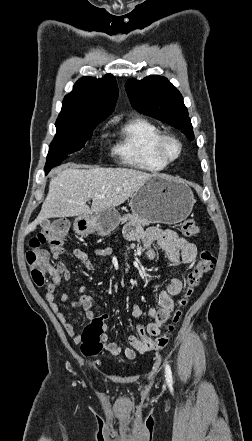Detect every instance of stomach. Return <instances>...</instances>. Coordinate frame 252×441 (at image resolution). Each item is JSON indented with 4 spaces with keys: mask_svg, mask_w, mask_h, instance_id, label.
Instances as JSON below:
<instances>
[{
    "mask_svg": "<svg viewBox=\"0 0 252 441\" xmlns=\"http://www.w3.org/2000/svg\"><path fill=\"white\" fill-rule=\"evenodd\" d=\"M194 203L193 193L186 184L165 175H154L131 196L129 205L133 213L150 223L176 224L189 216ZM120 221L119 212L110 208L92 217L79 216L75 229L82 234L97 232L106 236Z\"/></svg>",
    "mask_w": 252,
    "mask_h": 441,
    "instance_id": "stomach-1",
    "label": "stomach"
}]
</instances>
